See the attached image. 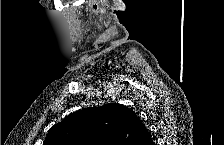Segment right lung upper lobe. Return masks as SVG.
I'll use <instances>...</instances> for the list:
<instances>
[{
  "label": "right lung upper lobe",
  "instance_id": "cb5924a9",
  "mask_svg": "<svg viewBox=\"0 0 224 145\" xmlns=\"http://www.w3.org/2000/svg\"><path fill=\"white\" fill-rule=\"evenodd\" d=\"M43 145H153V140L133 110L110 103L68 115L48 131Z\"/></svg>",
  "mask_w": 224,
  "mask_h": 145
}]
</instances>
